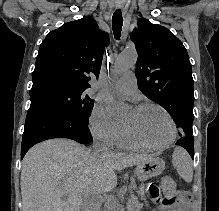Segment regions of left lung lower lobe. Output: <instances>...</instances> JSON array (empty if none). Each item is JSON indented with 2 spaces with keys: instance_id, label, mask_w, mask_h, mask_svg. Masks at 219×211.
<instances>
[{
  "instance_id": "left-lung-lower-lobe-1",
  "label": "left lung lower lobe",
  "mask_w": 219,
  "mask_h": 211,
  "mask_svg": "<svg viewBox=\"0 0 219 211\" xmlns=\"http://www.w3.org/2000/svg\"><path fill=\"white\" fill-rule=\"evenodd\" d=\"M176 145L182 146L185 148L189 154L191 155L192 159H194V138L193 136H183L177 142Z\"/></svg>"
}]
</instances>
